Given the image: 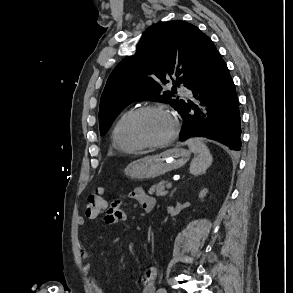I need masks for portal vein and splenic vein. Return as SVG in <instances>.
Listing matches in <instances>:
<instances>
[{
    "mask_svg": "<svg viewBox=\"0 0 293 293\" xmlns=\"http://www.w3.org/2000/svg\"><path fill=\"white\" fill-rule=\"evenodd\" d=\"M171 187H172V183L171 182H168L167 183V188L170 189Z\"/></svg>",
    "mask_w": 293,
    "mask_h": 293,
    "instance_id": "portal-vein-and-splenic-vein-1",
    "label": "portal vein and splenic vein"
}]
</instances>
